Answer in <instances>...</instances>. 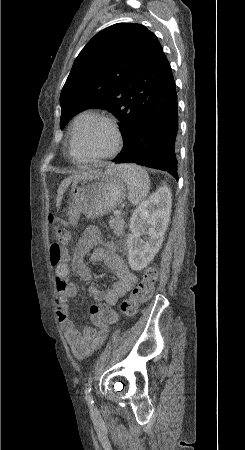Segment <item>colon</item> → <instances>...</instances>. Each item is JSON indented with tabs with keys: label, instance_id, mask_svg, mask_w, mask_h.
Listing matches in <instances>:
<instances>
[{
	"label": "colon",
	"instance_id": "obj_1",
	"mask_svg": "<svg viewBox=\"0 0 245 450\" xmlns=\"http://www.w3.org/2000/svg\"><path fill=\"white\" fill-rule=\"evenodd\" d=\"M50 224L55 240L50 246L49 256L50 264L55 268L61 265L66 258L65 247L68 241V235L65 226L61 227L57 225L55 216H50ZM157 277L158 273L155 267L150 266L144 270L141 281L134 286L130 297L119 305L123 315H134L139 305L145 304L151 299ZM90 312L95 319L104 323H114L119 317L117 311L105 303L94 304Z\"/></svg>",
	"mask_w": 245,
	"mask_h": 450
}]
</instances>
